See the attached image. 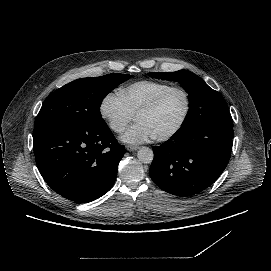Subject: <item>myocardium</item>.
<instances>
[{"instance_id":"1","label":"myocardium","mask_w":271,"mask_h":271,"mask_svg":"<svg viewBox=\"0 0 271 271\" xmlns=\"http://www.w3.org/2000/svg\"><path fill=\"white\" fill-rule=\"evenodd\" d=\"M173 91H180L183 94L185 98V111L179 123L170 132H168L165 135L155 137V140L157 142H166L173 139L186 124L191 112V107H192L190 92L183 86L171 85L165 90H163L162 92H160L158 95H156L150 103H148L141 110H139V112L136 114V117H135L137 118L141 115H145V114L155 111L160 106V104L164 101V99Z\"/></svg>"}]
</instances>
